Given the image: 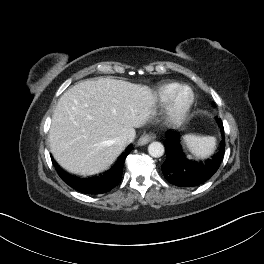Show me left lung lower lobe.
<instances>
[{"mask_svg":"<svg viewBox=\"0 0 264 264\" xmlns=\"http://www.w3.org/2000/svg\"><path fill=\"white\" fill-rule=\"evenodd\" d=\"M221 129L222 141L212 157L193 161L188 159L180 145V135L174 131L166 132L165 151L167 154L162 164L164 177L179 187H194L207 181L218 170L225 153V137L221 119H216Z\"/></svg>","mask_w":264,"mask_h":264,"instance_id":"obj_1","label":"left lung lower lobe"}]
</instances>
